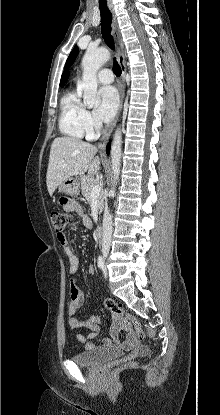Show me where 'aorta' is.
Instances as JSON below:
<instances>
[{
	"label": "aorta",
	"mask_w": 220,
	"mask_h": 415,
	"mask_svg": "<svg viewBox=\"0 0 220 415\" xmlns=\"http://www.w3.org/2000/svg\"><path fill=\"white\" fill-rule=\"evenodd\" d=\"M110 59V52L105 49H87L82 59V89L83 101L88 107L98 106L100 104V97L97 93V72L100 67ZM121 146L122 134L121 130L115 131L112 145H111V166L113 171L114 186L109 191V196H115V185L119 179L121 166Z\"/></svg>",
	"instance_id": "762f6f07"
}]
</instances>
